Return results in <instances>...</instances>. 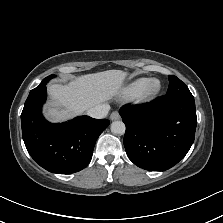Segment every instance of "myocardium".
<instances>
[{
  "label": "myocardium",
  "instance_id": "myocardium-1",
  "mask_svg": "<svg viewBox=\"0 0 223 223\" xmlns=\"http://www.w3.org/2000/svg\"><path fill=\"white\" fill-rule=\"evenodd\" d=\"M161 90V83L157 78L145 79L138 92L134 95L136 101H148L155 98Z\"/></svg>",
  "mask_w": 223,
  "mask_h": 223
}]
</instances>
